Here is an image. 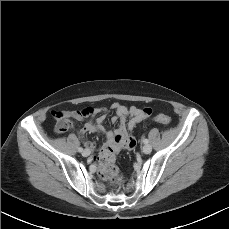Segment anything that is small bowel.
<instances>
[{
    "instance_id": "1",
    "label": "small bowel",
    "mask_w": 229,
    "mask_h": 229,
    "mask_svg": "<svg viewBox=\"0 0 229 229\" xmlns=\"http://www.w3.org/2000/svg\"><path fill=\"white\" fill-rule=\"evenodd\" d=\"M112 108L115 110L116 115L112 118L113 122L119 121V127L114 131H106L102 126V123L105 120V115H100L95 121L90 120L86 122L83 127L78 130L80 137L83 139V144L87 148H92L93 144L87 140H84L86 134L100 132L105 134L107 138L106 146L111 148L113 151L118 153L122 147L133 149L136 146V140L133 136L128 135L126 130L132 129L135 127L136 124L144 121L148 116L144 115L142 108L138 107H130L128 108L125 105L114 103ZM104 108H94L88 107L83 110L79 111H72L70 112L75 119L82 120L85 116V112H90L92 115L100 112H105ZM59 114V113H58ZM56 114V115H58ZM91 115V116H92ZM127 117H130L128 123H126ZM116 137H120L118 142L115 141ZM94 160H97L94 157Z\"/></svg>"
}]
</instances>
